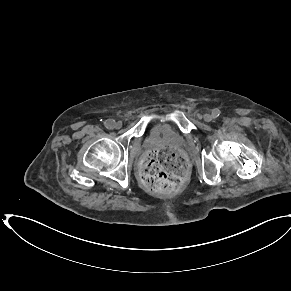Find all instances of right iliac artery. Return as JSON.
Here are the masks:
<instances>
[{
	"mask_svg": "<svg viewBox=\"0 0 291 291\" xmlns=\"http://www.w3.org/2000/svg\"><path fill=\"white\" fill-rule=\"evenodd\" d=\"M105 126L108 129H112L114 127V121L113 120H107V121H105Z\"/></svg>",
	"mask_w": 291,
	"mask_h": 291,
	"instance_id": "82829eb1",
	"label": "right iliac artery"
}]
</instances>
